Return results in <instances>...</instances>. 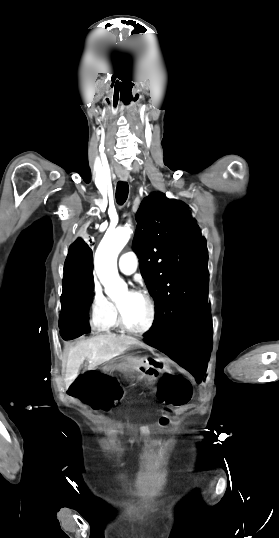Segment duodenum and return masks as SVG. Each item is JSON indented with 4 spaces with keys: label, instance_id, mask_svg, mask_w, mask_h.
I'll use <instances>...</instances> for the list:
<instances>
[{
    "label": "duodenum",
    "instance_id": "duodenum-1",
    "mask_svg": "<svg viewBox=\"0 0 279 538\" xmlns=\"http://www.w3.org/2000/svg\"><path fill=\"white\" fill-rule=\"evenodd\" d=\"M149 365H141L139 372H147ZM147 376L157 377V372L147 373ZM136 381H141V378H136Z\"/></svg>",
    "mask_w": 279,
    "mask_h": 538
}]
</instances>
